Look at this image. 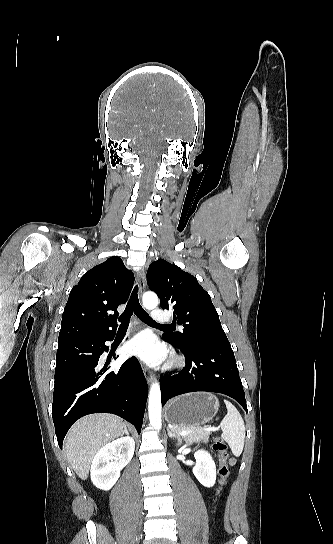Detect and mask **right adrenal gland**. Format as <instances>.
I'll use <instances>...</instances> for the list:
<instances>
[{
	"instance_id": "2a0ac1e0",
	"label": "right adrenal gland",
	"mask_w": 333,
	"mask_h": 544,
	"mask_svg": "<svg viewBox=\"0 0 333 544\" xmlns=\"http://www.w3.org/2000/svg\"><path fill=\"white\" fill-rule=\"evenodd\" d=\"M124 433H125L126 435H129V432H128V430H127V427H126V426H124Z\"/></svg>"
}]
</instances>
